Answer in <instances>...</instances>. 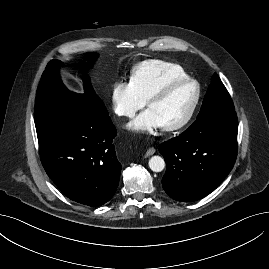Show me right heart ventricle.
<instances>
[{
    "label": "right heart ventricle",
    "mask_w": 269,
    "mask_h": 269,
    "mask_svg": "<svg viewBox=\"0 0 269 269\" xmlns=\"http://www.w3.org/2000/svg\"><path fill=\"white\" fill-rule=\"evenodd\" d=\"M184 69L174 63L162 60H146L136 65L130 76V82L143 101L158 89L171 81L187 78Z\"/></svg>",
    "instance_id": "right-heart-ventricle-1"
}]
</instances>
